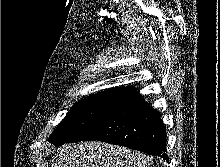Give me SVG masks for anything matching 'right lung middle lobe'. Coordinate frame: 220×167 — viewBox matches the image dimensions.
Listing matches in <instances>:
<instances>
[{"mask_svg":"<svg viewBox=\"0 0 220 167\" xmlns=\"http://www.w3.org/2000/svg\"><path fill=\"white\" fill-rule=\"evenodd\" d=\"M115 100L82 99L67 113L48 141L56 146L79 142L103 120Z\"/></svg>","mask_w":220,"mask_h":167,"instance_id":"dd1d6c3e","label":"right lung middle lobe"}]
</instances>
